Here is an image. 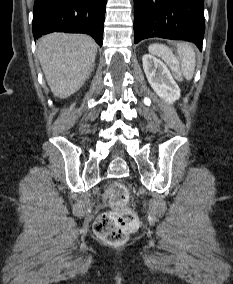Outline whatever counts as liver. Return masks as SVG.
I'll return each instance as SVG.
<instances>
[{
  "instance_id": "6515ba94",
  "label": "liver",
  "mask_w": 233,
  "mask_h": 284,
  "mask_svg": "<svg viewBox=\"0 0 233 284\" xmlns=\"http://www.w3.org/2000/svg\"><path fill=\"white\" fill-rule=\"evenodd\" d=\"M97 53L87 35L51 33L37 41V57L54 96L68 98L90 76Z\"/></svg>"
}]
</instances>
